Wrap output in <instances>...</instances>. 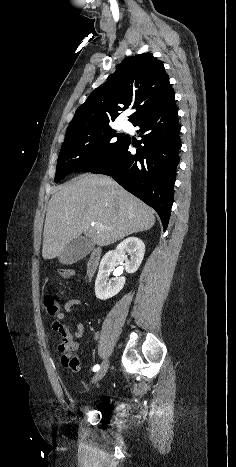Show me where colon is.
Segmentation results:
<instances>
[{
	"label": "colon",
	"mask_w": 236,
	"mask_h": 467,
	"mask_svg": "<svg viewBox=\"0 0 236 467\" xmlns=\"http://www.w3.org/2000/svg\"><path fill=\"white\" fill-rule=\"evenodd\" d=\"M59 275L62 277H72L76 274L73 269L62 268L58 270ZM44 304L47 310V313L51 316L60 313L61 311V301L59 298L54 294H47L44 297ZM75 361V358H73Z\"/></svg>",
	"instance_id": "5ec220e1"
}]
</instances>
